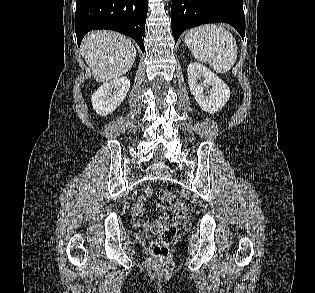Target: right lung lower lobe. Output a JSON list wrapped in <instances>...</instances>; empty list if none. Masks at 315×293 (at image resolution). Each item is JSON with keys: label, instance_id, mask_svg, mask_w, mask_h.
<instances>
[{"label": "right lung lower lobe", "instance_id": "98d812e1", "mask_svg": "<svg viewBox=\"0 0 315 293\" xmlns=\"http://www.w3.org/2000/svg\"><path fill=\"white\" fill-rule=\"evenodd\" d=\"M148 0H77L75 32L80 46L93 29H109L132 37L144 52L143 44Z\"/></svg>", "mask_w": 315, "mask_h": 293}]
</instances>
